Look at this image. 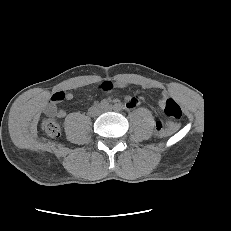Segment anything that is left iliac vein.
Returning a JSON list of instances; mask_svg holds the SVG:
<instances>
[{
  "label": "left iliac vein",
  "instance_id": "obj_1",
  "mask_svg": "<svg viewBox=\"0 0 231 231\" xmlns=\"http://www.w3.org/2000/svg\"><path fill=\"white\" fill-rule=\"evenodd\" d=\"M108 109H110V110H111V109H113V108H112V107H109Z\"/></svg>",
  "mask_w": 231,
  "mask_h": 231
}]
</instances>
